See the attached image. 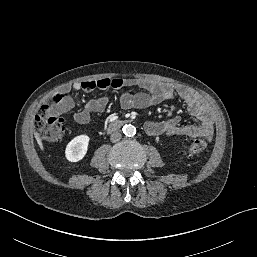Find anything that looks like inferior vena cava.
Instances as JSON below:
<instances>
[{
	"mask_svg": "<svg viewBox=\"0 0 257 257\" xmlns=\"http://www.w3.org/2000/svg\"><path fill=\"white\" fill-rule=\"evenodd\" d=\"M121 133L118 132V131H115L111 134L110 136V140L115 143V142H118L120 139H121Z\"/></svg>",
	"mask_w": 257,
	"mask_h": 257,
	"instance_id": "602c4592",
	"label": "inferior vena cava"
}]
</instances>
